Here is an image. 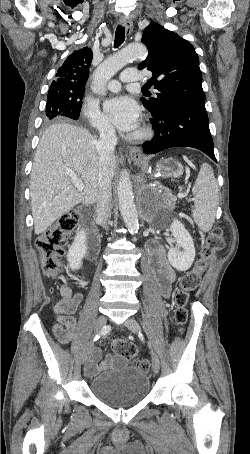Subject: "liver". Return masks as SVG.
<instances>
[{"instance_id":"1","label":"liver","mask_w":250,"mask_h":454,"mask_svg":"<svg viewBox=\"0 0 250 454\" xmlns=\"http://www.w3.org/2000/svg\"><path fill=\"white\" fill-rule=\"evenodd\" d=\"M116 166L117 159L113 156L111 178ZM99 167L98 141L88 131L68 123L53 124L44 131L30 177L36 235L77 204L97 202ZM73 175L83 181V191H78L72 184Z\"/></svg>"}]
</instances>
